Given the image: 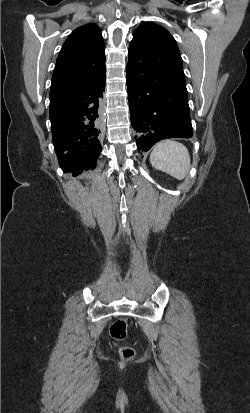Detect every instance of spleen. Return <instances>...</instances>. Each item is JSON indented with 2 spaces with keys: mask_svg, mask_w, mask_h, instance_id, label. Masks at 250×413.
<instances>
[{
  "mask_svg": "<svg viewBox=\"0 0 250 413\" xmlns=\"http://www.w3.org/2000/svg\"><path fill=\"white\" fill-rule=\"evenodd\" d=\"M190 161L186 146L174 140L159 142L150 154V162L154 168L178 180L184 179L188 174Z\"/></svg>",
  "mask_w": 250,
  "mask_h": 413,
  "instance_id": "obj_1",
  "label": "spleen"
}]
</instances>
